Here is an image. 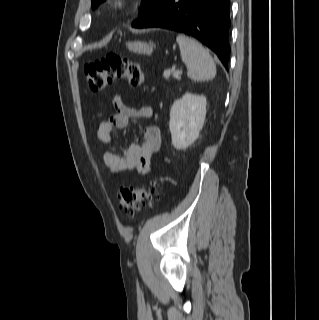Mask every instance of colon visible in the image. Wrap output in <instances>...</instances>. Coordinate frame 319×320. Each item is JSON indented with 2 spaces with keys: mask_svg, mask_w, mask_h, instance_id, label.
<instances>
[{
  "mask_svg": "<svg viewBox=\"0 0 319 320\" xmlns=\"http://www.w3.org/2000/svg\"><path fill=\"white\" fill-rule=\"evenodd\" d=\"M85 75L90 89L94 91L105 89L115 80H122L132 87H141L144 75L138 63L108 52L100 60L85 65ZM161 194L155 182L148 186L124 187L118 195L120 208L125 215L132 218L144 206H153Z\"/></svg>",
  "mask_w": 319,
  "mask_h": 320,
  "instance_id": "obj_1",
  "label": "colon"
}]
</instances>
